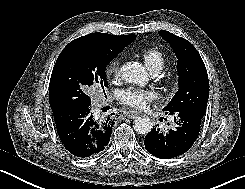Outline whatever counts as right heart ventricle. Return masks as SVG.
Masks as SVG:
<instances>
[{
    "label": "right heart ventricle",
    "mask_w": 245,
    "mask_h": 189,
    "mask_svg": "<svg viewBox=\"0 0 245 189\" xmlns=\"http://www.w3.org/2000/svg\"><path fill=\"white\" fill-rule=\"evenodd\" d=\"M139 55L144 60L147 68L159 72L165 65V54L157 47H145L139 50Z\"/></svg>",
    "instance_id": "e07e8e85"
}]
</instances>
